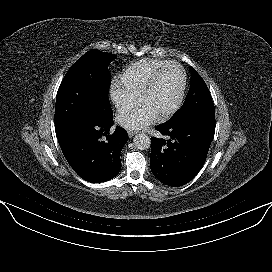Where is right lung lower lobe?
Segmentation results:
<instances>
[{
  "instance_id": "right-lung-lower-lobe-1",
  "label": "right lung lower lobe",
  "mask_w": 272,
  "mask_h": 272,
  "mask_svg": "<svg viewBox=\"0 0 272 272\" xmlns=\"http://www.w3.org/2000/svg\"><path fill=\"white\" fill-rule=\"evenodd\" d=\"M113 124V115L99 119L87 116L58 136V142L72 169L92 183L114 178L121 169L120 152L128 141L126 130L117 126L106 140Z\"/></svg>"
}]
</instances>
